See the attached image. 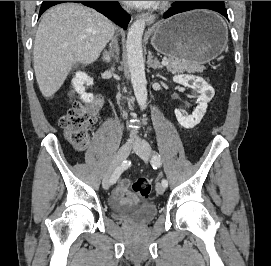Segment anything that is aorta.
<instances>
[{"label":"aorta","mask_w":271,"mask_h":266,"mask_svg":"<svg viewBox=\"0 0 271 266\" xmlns=\"http://www.w3.org/2000/svg\"><path fill=\"white\" fill-rule=\"evenodd\" d=\"M144 20H136L128 29L126 51L128 67L131 75L136 100L141 109L147 107V88L145 65L142 51V37L145 29Z\"/></svg>","instance_id":"aorta-1"}]
</instances>
